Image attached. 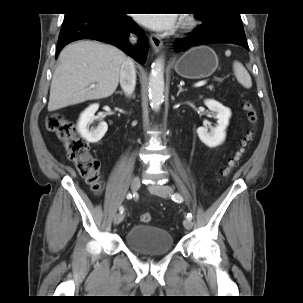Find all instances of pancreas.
Returning a JSON list of instances; mask_svg holds the SVG:
<instances>
[{
	"label": "pancreas",
	"mask_w": 303,
	"mask_h": 303,
	"mask_svg": "<svg viewBox=\"0 0 303 303\" xmlns=\"http://www.w3.org/2000/svg\"><path fill=\"white\" fill-rule=\"evenodd\" d=\"M208 88L212 91L214 89L213 85L208 86Z\"/></svg>",
	"instance_id": "cf45deb5"
}]
</instances>
